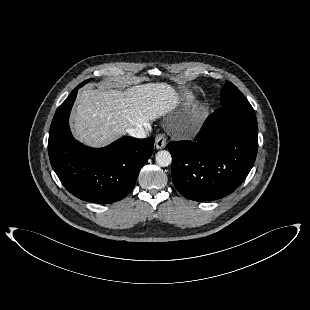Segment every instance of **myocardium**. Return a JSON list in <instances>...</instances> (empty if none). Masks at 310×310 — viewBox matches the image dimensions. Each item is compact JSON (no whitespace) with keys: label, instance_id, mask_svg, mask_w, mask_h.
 <instances>
[{"label":"myocardium","instance_id":"myocardium-1","mask_svg":"<svg viewBox=\"0 0 310 310\" xmlns=\"http://www.w3.org/2000/svg\"><path fill=\"white\" fill-rule=\"evenodd\" d=\"M202 117H203V112H202V110L196 109V110H194V111L191 113L190 121H191V123H193V124H197V123H199V122L201 121Z\"/></svg>","mask_w":310,"mask_h":310}]
</instances>
